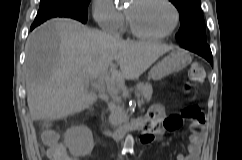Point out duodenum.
Instances as JSON below:
<instances>
[{
  "label": "duodenum",
  "mask_w": 242,
  "mask_h": 160,
  "mask_svg": "<svg viewBox=\"0 0 242 160\" xmlns=\"http://www.w3.org/2000/svg\"><path fill=\"white\" fill-rule=\"evenodd\" d=\"M146 122H147V119L144 117L134 119V120L130 121L127 125L119 128L114 133H110V135L112 136V138L114 140H119L131 131H138V130L143 129ZM102 130L105 133H108V131L104 127H102Z\"/></svg>",
  "instance_id": "duodenum-1"
}]
</instances>
